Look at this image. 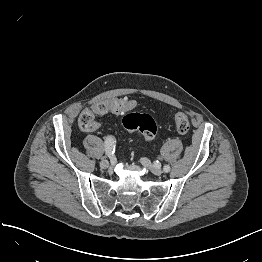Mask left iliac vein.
I'll return each mask as SVG.
<instances>
[{
  "mask_svg": "<svg viewBox=\"0 0 262 262\" xmlns=\"http://www.w3.org/2000/svg\"><path fill=\"white\" fill-rule=\"evenodd\" d=\"M141 163L142 165L149 169L150 171H152L155 175H161L162 174V170L160 167L153 165L148 159L146 158H142L141 159Z\"/></svg>",
  "mask_w": 262,
  "mask_h": 262,
  "instance_id": "4c4485c4",
  "label": "left iliac vein"
}]
</instances>
